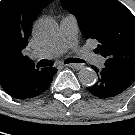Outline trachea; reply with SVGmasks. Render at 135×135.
<instances>
[{
	"label": "trachea",
	"mask_w": 135,
	"mask_h": 135,
	"mask_svg": "<svg viewBox=\"0 0 135 135\" xmlns=\"http://www.w3.org/2000/svg\"><path fill=\"white\" fill-rule=\"evenodd\" d=\"M84 61L79 59V58H68L65 60V63H83ZM53 62L49 60H40L37 63V67H47V66H52Z\"/></svg>",
	"instance_id": "trachea-1"
}]
</instances>
